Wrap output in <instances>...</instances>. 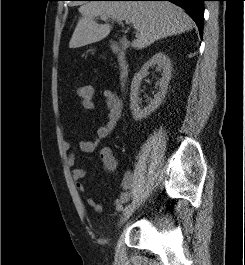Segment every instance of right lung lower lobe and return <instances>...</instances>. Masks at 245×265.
I'll return each instance as SVG.
<instances>
[{"label":"right lung lower lobe","mask_w":245,"mask_h":265,"mask_svg":"<svg viewBox=\"0 0 245 265\" xmlns=\"http://www.w3.org/2000/svg\"><path fill=\"white\" fill-rule=\"evenodd\" d=\"M91 1V0H88ZM120 1V0H119ZM121 1H170L185 9L198 26L202 36L205 0H121Z\"/></svg>","instance_id":"1"}]
</instances>
